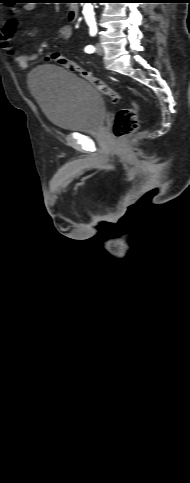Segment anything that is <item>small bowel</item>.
<instances>
[{"mask_svg": "<svg viewBox=\"0 0 190 483\" xmlns=\"http://www.w3.org/2000/svg\"><path fill=\"white\" fill-rule=\"evenodd\" d=\"M29 6H22L14 11L13 17L6 21L4 26L0 29V45L6 50V53L13 58L15 63L20 69H27L30 61L34 60L37 56L32 55H18L15 50L10 46V41L17 29V16L22 12L28 10ZM71 25H63L58 29L57 35L61 40H68L72 35Z\"/></svg>", "mask_w": 190, "mask_h": 483, "instance_id": "small-bowel-1", "label": "small bowel"}]
</instances>
